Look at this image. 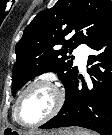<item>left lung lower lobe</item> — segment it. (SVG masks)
<instances>
[{
    "instance_id": "obj_1",
    "label": "left lung lower lobe",
    "mask_w": 112,
    "mask_h": 135,
    "mask_svg": "<svg viewBox=\"0 0 112 135\" xmlns=\"http://www.w3.org/2000/svg\"><path fill=\"white\" fill-rule=\"evenodd\" d=\"M97 51L88 58L90 78L77 74L66 89L59 113L40 128L79 126L101 135L112 133V22L92 44ZM78 73V72H77ZM82 84L79 86V80Z\"/></svg>"
}]
</instances>
